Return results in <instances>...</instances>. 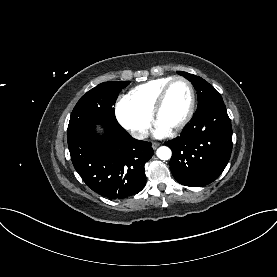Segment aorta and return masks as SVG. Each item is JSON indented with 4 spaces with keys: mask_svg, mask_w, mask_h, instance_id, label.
Returning a JSON list of instances; mask_svg holds the SVG:
<instances>
[{
    "mask_svg": "<svg viewBox=\"0 0 277 277\" xmlns=\"http://www.w3.org/2000/svg\"><path fill=\"white\" fill-rule=\"evenodd\" d=\"M156 154H157V157L161 160H168L171 158V155H172L170 148L167 146L159 147L157 149Z\"/></svg>",
    "mask_w": 277,
    "mask_h": 277,
    "instance_id": "1",
    "label": "aorta"
}]
</instances>
